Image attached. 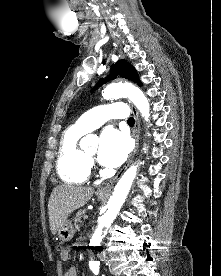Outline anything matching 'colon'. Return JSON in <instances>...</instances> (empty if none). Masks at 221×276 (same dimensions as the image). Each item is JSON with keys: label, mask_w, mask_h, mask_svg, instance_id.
I'll use <instances>...</instances> for the list:
<instances>
[{"label": "colon", "mask_w": 221, "mask_h": 276, "mask_svg": "<svg viewBox=\"0 0 221 276\" xmlns=\"http://www.w3.org/2000/svg\"><path fill=\"white\" fill-rule=\"evenodd\" d=\"M55 249L61 251V253L66 249V244H55Z\"/></svg>", "instance_id": "obj_1"}]
</instances>
